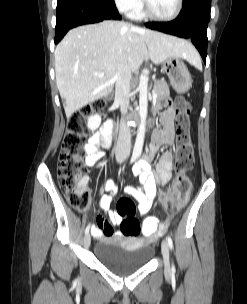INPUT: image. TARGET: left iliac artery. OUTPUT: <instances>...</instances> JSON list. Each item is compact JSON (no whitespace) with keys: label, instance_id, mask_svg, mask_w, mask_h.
Returning a JSON list of instances; mask_svg holds the SVG:
<instances>
[{"label":"left iliac artery","instance_id":"1","mask_svg":"<svg viewBox=\"0 0 247 304\" xmlns=\"http://www.w3.org/2000/svg\"><path fill=\"white\" fill-rule=\"evenodd\" d=\"M167 241H168V245H169L170 249H172L173 248V241H172V238L170 236L167 237ZM172 271L175 272L174 265L172 266Z\"/></svg>","mask_w":247,"mask_h":304}]
</instances>
